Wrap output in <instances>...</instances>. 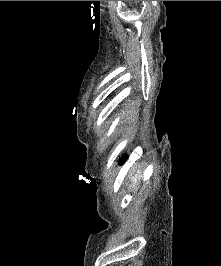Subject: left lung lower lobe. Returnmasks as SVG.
Instances as JSON below:
<instances>
[{"label":"left lung lower lobe","instance_id":"left-lung-lower-lobe-1","mask_svg":"<svg viewBox=\"0 0 221 266\" xmlns=\"http://www.w3.org/2000/svg\"><path fill=\"white\" fill-rule=\"evenodd\" d=\"M127 158V156H123L120 160L123 161Z\"/></svg>","mask_w":221,"mask_h":266}]
</instances>
